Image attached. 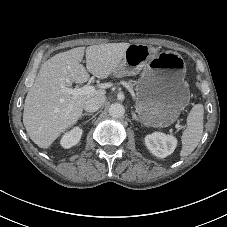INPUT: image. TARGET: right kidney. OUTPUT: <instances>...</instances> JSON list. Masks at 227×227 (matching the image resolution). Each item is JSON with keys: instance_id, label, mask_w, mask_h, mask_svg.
Instances as JSON below:
<instances>
[{"instance_id": "ca27d5eb", "label": "right kidney", "mask_w": 227, "mask_h": 227, "mask_svg": "<svg viewBox=\"0 0 227 227\" xmlns=\"http://www.w3.org/2000/svg\"><path fill=\"white\" fill-rule=\"evenodd\" d=\"M82 136V129L80 127H74L71 131L66 132L60 140V144L63 148H71L76 145Z\"/></svg>"}]
</instances>
